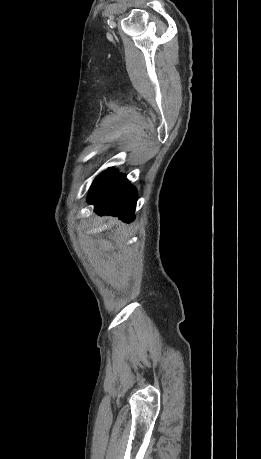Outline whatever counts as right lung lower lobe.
Masks as SVG:
<instances>
[{
	"instance_id": "1",
	"label": "right lung lower lobe",
	"mask_w": 261,
	"mask_h": 459,
	"mask_svg": "<svg viewBox=\"0 0 261 459\" xmlns=\"http://www.w3.org/2000/svg\"><path fill=\"white\" fill-rule=\"evenodd\" d=\"M136 201L135 188L117 171L88 197L97 214L117 216L125 222L133 220Z\"/></svg>"
}]
</instances>
